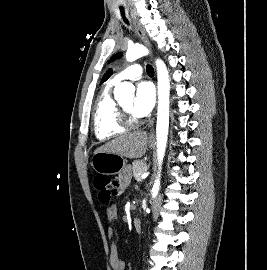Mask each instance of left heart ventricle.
<instances>
[{
	"label": "left heart ventricle",
	"mask_w": 267,
	"mask_h": 270,
	"mask_svg": "<svg viewBox=\"0 0 267 270\" xmlns=\"http://www.w3.org/2000/svg\"><path fill=\"white\" fill-rule=\"evenodd\" d=\"M132 103H133V100L132 99H128L126 101H123L121 103V105L132 115V116H135L132 112ZM136 117V116H135Z\"/></svg>",
	"instance_id": "left-heart-ventricle-1"
}]
</instances>
